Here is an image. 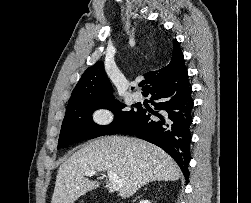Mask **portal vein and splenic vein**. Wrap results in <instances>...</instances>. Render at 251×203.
<instances>
[{
  "label": "portal vein and splenic vein",
  "instance_id": "1",
  "mask_svg": "<svg viewBox=\"0 0 251 203\" xmlns=\"http://www.w3.org/2000/svg\"><path fill=\"white\" fill-rule=\"evenodd\" d=\"M95 174H96V171L91 170V171L86 172L84 175L91 177V176H93ZM107 175H108V178H109V182H110V184L112 186V189L115 190V191L119 190L120 187L122 186V180H120L118 175L113 171H108Z\"/></svg>",
  "mask_w": 251,
  "mask_h": 203
}]
</instances>
